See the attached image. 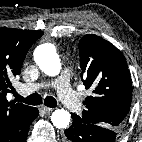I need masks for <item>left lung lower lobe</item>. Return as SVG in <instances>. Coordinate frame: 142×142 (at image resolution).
<instances>
[{
	"label": "left lung lower lobe",
	"mask_w": 142,
	"mask_h": 142,
	"mask_svg": "<svg viewBox=\"0 0 142 142\" xmlns=\"http://www.w3.org/2000/svg\"><path fill=\"white\" fill-rule=\"evenodd\" d=\"M72 115V125L65 130L68 142H114L117 130L100 125L84 124L75 114Z\"/></svg>",
	"instance_id": "1"
}]
</instances>
